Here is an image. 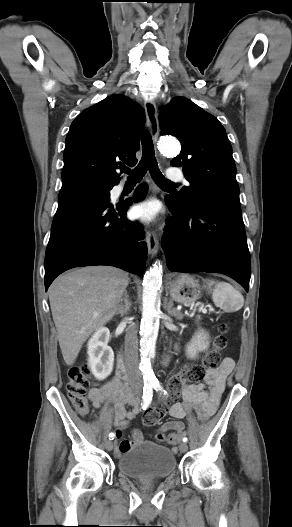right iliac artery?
Instances as JSON below:
<instances>
[{"label": "right iliac artery", "instance_id": "1", "mask_svg": "<svg viewBox=\"0 0 292 527\" xmlns=\"http://www.w3.org/2000/svg\"><path fill=\"white\" fill-rule=\"evenodd\" d=\"M153 388L154 387H153L152 384H145V386L143 388V396H142V403H141L143 409H146L147 406L152 401ZM114 437H115V433H113V432L109 433L110 440H113Z\"/></svg>", "mask_w": 292, "mask_h": 527}]
</instances>
